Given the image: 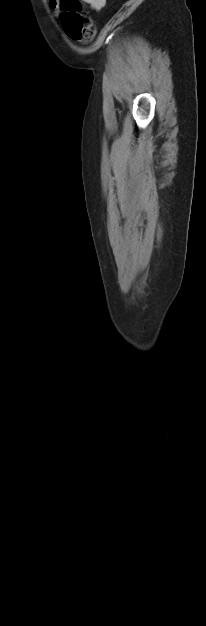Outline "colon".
Here are the masks:
<instances>
[{
	"label": "colon",
	"instance_id": "5ec220e1",
	"mask_svg": "<svg viewBox=\"0 0 206 626\" xmlns=\"http://www.w3.org/2000/svg\"><path fill=\"white\" fill-rule=\"evenodd\" d=\"M79 0H60V20L67 35L73 40L90 42L96 33L93 21L81 14Z\"/></svg>",
	"mask_w": 206,
	"mask_h": 626
}]
</instances>
